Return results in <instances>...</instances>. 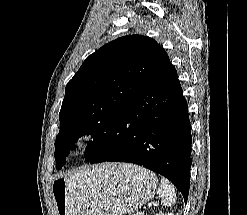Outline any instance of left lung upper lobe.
<instances>
[{"instance_id": "left-lung-upper-lobe-1", "label": "left lung upper lobe", "mask_w": 247, "mask_h": 215, "mask_svg": "<svg viewBox=\"0 0 247 215\" xmlns=\"http://www.w3.org/2000/svg\"><path fill=\"white\" fill-rule=\"evenodd\" d=\"M166 56L155 40L129 35L86 58L66 85L55 140L58 169L81 135L91 134L95 139L87 146L85 158L103 147L107 134Z\"/></svg>"}]
</instances>
